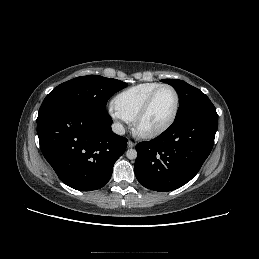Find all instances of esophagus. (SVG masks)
Listing matches in <instances>:
<instances>
[{
    "label": "esophagus",
    "mask_w": 259,
    "mask_h": 259,
    "mask_svg": "<svg viewBox=\"0 0 259 259\" xmlns=\"http://www.w3.org/2000/svg\"><path fill=\"white\" fill-rule=\"evenodd\" d=\"M128 148H133L135 146L134 142L128 141L127 142Z\"/></svg>",
    "instance_id": "obj_1"
}]
</instances>
